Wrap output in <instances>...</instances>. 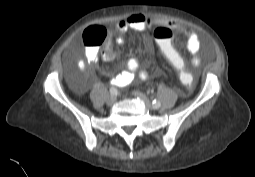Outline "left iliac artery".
I'll list each match as a JSON object with an SVG mask.
<instances>
[{
	"label": "left iliac artery",
	"instance_id": "44dca946",
	"mask_svg": "<svg viewBox=\"0 0 255 177\" xmlns=\"http://www.w3.org/2000/svg\"><path fill=\"white\" fill-rule=\"evenodd\" d=\"M152 105L157 109L161 106V103L158 100H153Z\"/></svg>",
	"mask_w": 255,
	"mask_h": 177
}]
</instances>
